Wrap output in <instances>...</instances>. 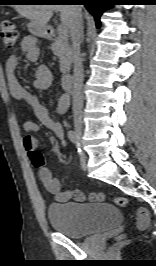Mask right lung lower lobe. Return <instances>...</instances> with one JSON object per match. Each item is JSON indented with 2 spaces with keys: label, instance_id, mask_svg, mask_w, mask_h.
Returning <instances> with one entry per match:
<instances>
[{
  "label": "right lung lower lobe",
  "instance_id": "1",
  "mask_svg": "<svg viewBox=\"0 0 156 266\" xmlns=\"http://www.w3.org/2000/svg\"><path fill=\"white\" fill-rule=\"evenodd\" d=\"M58 2L52 3H65L63 1H73L74 3L85 5L86 9L94 16L97 27H100V16L109 7L113 6L114 0H55Z\"/></svg>",
  "mask_w": 156,
  "mask_h": 266
}]
</instances>
